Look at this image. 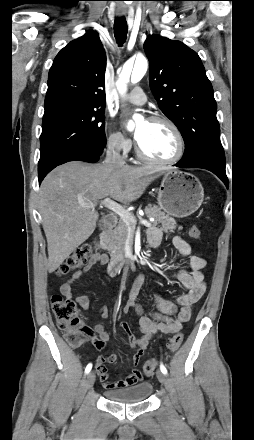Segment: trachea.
Returning a JSON list of instances; mask_svg holds the SVG:
<instances>
[{
  "label": "trachea",
  "instance_id": "trachea-1",
  "mask_svg": "<svg viewBox=\"0 0 254 440\" xmlns=\"http://www.w3.org/2000/svg\"><path fill=\"white\" fill-rule=\"evenodd\" d=\"M127 30L128 26L125 17L116 18L114 23V36L119 45L125 42Z\"/></svg>",
  "mask_w": 254,
  "mask_h": 440
}]
</instances>
